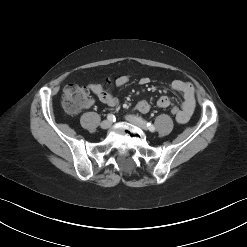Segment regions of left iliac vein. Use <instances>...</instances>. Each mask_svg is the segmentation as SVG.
<instances>
[{"mask_svg": "<svg viewBox=\"0 0 247 247\" xmlns=\"http://www.w3.org/2000/svg\"><path fill=\"white\" fill-rule=\"evenodd\" d=\"M125 119H126L128 122H130V123H132V124H134V125L140 127L141 129H146V128H147L146 125H145L139 118H137V117H135V116L127 115V116L125 117Z\"/></svg>", "mask_w": 247, "mask_h": 247, "instance_id": "obj_1", "label": "left iliac vein"}]
</instances>
